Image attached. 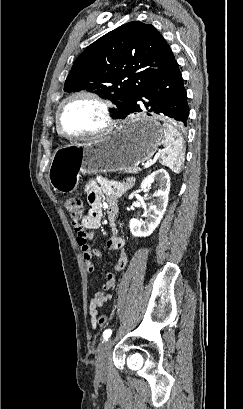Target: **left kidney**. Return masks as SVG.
I'll return each mask as SVG.
<instances>
[{
	"mask_svg": "<svg viewBox=\"0 0 243 409\" xmlns=\"http://www.w3.org/2000/svg\"><path fill=\"white\" fill-rule=\"evenodd\" d=\"M157 182L158 190L155 192L157 199L155 203L149 206L146 211L147 217L145 220H137L132 218L129 223L130 232L135 237H147L160 224L161 219L168 205V195L170 191V176L164 169H159L148 175L141 183V190L147 191L148 188Z\"/></svg>",
	"mask_w": 243,
	"mask_h": 409,
	"instance_id": "obj_1",
	"label": "left kidney"
}]
</instances>
